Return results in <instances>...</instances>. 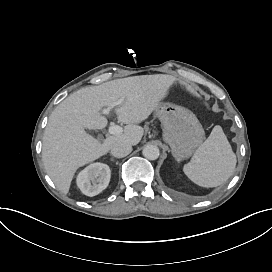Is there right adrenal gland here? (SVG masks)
<instances>
[{
  "label": "right adrenal gland",
  "instance_id": "2a0ac1e0",
  "mask_svg": "<svg viewBox=\"0 0 272 272\" xmlns=\"http://www.w3.org/2000/svg\"><path fill=\"white\" fill-rule=\"evenodd\" d=\"M110 160H111L112 162H114V161H115V159H114V158H110Z\"/></svg>",
  "mask_w": 272,
  "mask_h": 272
}]
</instances>
